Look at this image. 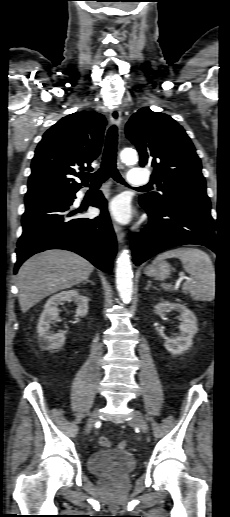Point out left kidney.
Listing matches in <instances>:
<instances>
[{"label":"left kidney","mask_w":230,"mask_h":517,"mask_svg":"<svg viewBox=\"0 0 230 517\" xmlns=\"http://www.w3.org/2000/svg\"><path fill=\"white\" fill-rule=\"evenodd\" d=\"M175 310L181 314L182 322L179 325L181 333L175 338L164 337L166 350L173 354H182L193 344V337L198 331L197 319L186 306L177 303L162 301L154 307V313L161 315L164 312Z\"/></svg>","instance_id":"obj_1"}]
</instances>
